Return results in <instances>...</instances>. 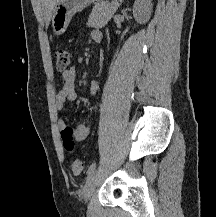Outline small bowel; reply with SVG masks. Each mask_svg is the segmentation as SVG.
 <instances>
[{"instance_id":"c3829d8e","label":"small bowel","mask_w":216,"mask_h":217,"mask_svg":"<svg viewBox=\"0 0 216 217\" xmlns=\"http://www.w3.org/2000/svg\"><path fill=\"white\" fill-rule=\"evenodd\" d=\"M90 37L93 41L99 42L102 39V35L99 30L94 29L90 32ZM62 85L57 92L54 104L58 111L63 110L67 101H74L77 99L76 83H75V68L71 67L65 70L61 74ZM100 82L98 80H93L90 84L89 93L94 95L99 88ZM57 126L61 134H63L66 129V123L64 120L59 119L57 121ZM90 133V126L85 123H81L75 127L72 132L73 139L75 141H82L88 137Z\"/></svg>"}]
</instances>
